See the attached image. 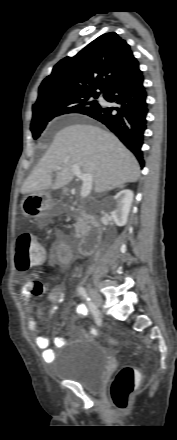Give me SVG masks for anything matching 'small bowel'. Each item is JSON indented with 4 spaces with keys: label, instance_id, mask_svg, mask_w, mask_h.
Returning <instances> with one entry per match:
<instances>
[{
    "label": "small bowel",
    "instance_id": "1",
    "mask_svg": "<svg viewBox=\"0 0 177 440\" xmlns=\"http://www.w3.org/2000/svg\"><path fill=\"white\" fill-rule=\"evenodd\" d=\"M50 265L56 266H68L73 260V253L69 245L65 240H60L55 246L53 251L49 254ZM35 281L27 280L23 283L21 288L17 291V296L20 301L26 303L30 297L31 291L34 289ZM63 297V291L60 288H54L49 293V302L51 304H57ZM76 316L81 319L88 314V309L84 304L78 303L75 306ZM43 314V306L38 305L34 312L28 318V327L31 331H38L37 320ZM54 344L56 347H62L66 344V340L62 337L54 338ZM36 346L43 351V357L46 362H53L55 360V350L50 348V339L45 334H39L36 337Z\"/></svg>",
    "mask_w": 177,
    "mask_h": 440
}]
</instances>
